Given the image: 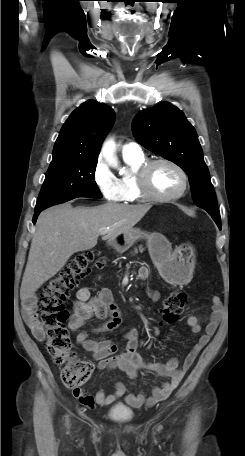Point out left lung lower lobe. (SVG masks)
<instances>
[{"instance_id":"obj_1","label":"left lung lower lobe","mask_w":245,"mask_h":456,"mask_svg":"<svg viewBox=\"0 0 245 456\" xmlns=\"http://www.w3.org/2000/svg\"><path fill=\"white\" fill-rule=\"evenodd\" d=\"M216 224L218 225V227L221 229V220H215Z\"/></svg>"}]
</instances>
